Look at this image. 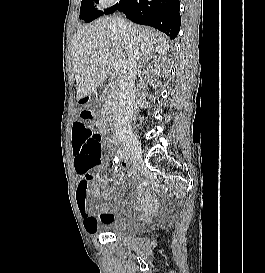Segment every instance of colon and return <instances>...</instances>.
<instances>
[{"instance_id": "5ec220e1", "label": "colon", "mask_w": 265, "mask_h": 273, "mask_svg": "<svg viewBox=\"0 0 265 273\" xmlns=\"http://www.w3.org/2000/svg\"><path fill=\"white\" fill-rule=\"evenodd\" d=\"M76 148L80 152L79 168L88 172L100 163L101 136L90 129H77Z\"/></svg>"}]
</instances>
